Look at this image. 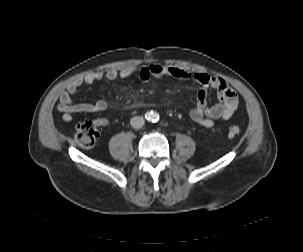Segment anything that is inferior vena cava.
Here are the masks:
<instances>
[{
    "mask_svg": "<svg viewBox=\"0 0 303 252\" xmlns=\"http://www.w3.org/2000/svg\"><path fill=\"white\" fill-rule=\"evenodd\" d=\"M144 118L143 117H140V116H135V117H132L131 120H130V124L133 128L135 129H140L143 127L144 125Z\"/></svg>",
    "mask_w": 303,
    "mask_h": 252,
    "instance_id": "602c4592",
    "label": "inferior vena cava"
}]
</instances>
